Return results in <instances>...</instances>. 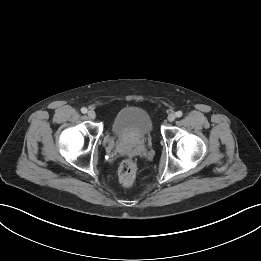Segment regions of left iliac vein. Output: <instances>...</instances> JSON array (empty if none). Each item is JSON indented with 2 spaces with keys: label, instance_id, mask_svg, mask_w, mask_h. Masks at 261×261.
<instances>
[{
  "label": "left iliac vein",
  "instance_id": "4c4485c4",
  "mask_svg": "<svg viewBox=\"0 0 261 261\" xmlns=\"http://www.w3.org/2000/svg\"><path fill=\"white\" fill-rule=\"evenodd\" d=\"M175 118H176V115H175L174 113L169 114L168 117H167V119H168L169 122L174 121Z\"/></svg>",
  "mask_w": 261,
  "mask_h": 261
}]
</instances>
